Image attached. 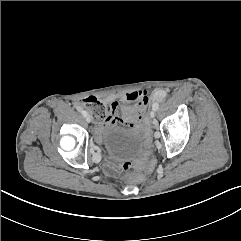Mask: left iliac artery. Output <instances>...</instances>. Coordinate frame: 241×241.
<instances>
[{
  "label": "left iliac artery",
  "instance_id": "obj_1",
  "mask_svg": "<svg viewBox=\"0 0 241 241\" xmlns=\"http://www.w3.org/2000/svg\"><path fill=\"white\" fill-rule=\"evenodd\" d=\"M152 107L156 111L159 108V104L157 102H154Z\"/></svg>",
  "mask_w": 241,
  "mask_h": 241
}]
</instances>
